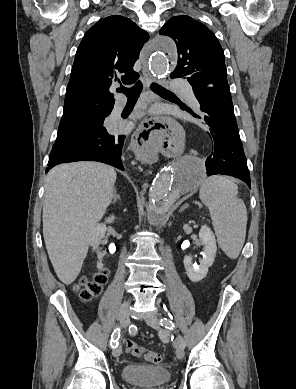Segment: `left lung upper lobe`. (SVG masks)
Masks as SVG:
<instances>
[{
	"instance_id": "obj_1",
	"label": "left lung upper lobe",
	"mask_w": 296,
	"mask_h": 389,
	"mask_svg": "<svg viewBox=\"0 0 296 389\" xmlns=\"http://www.w3.org/2000/svg\"><path fill=\"white\" fill-rule=\"evenodd\" d=\"M159 33L177 46L178 63L171 78H186L193 88L228 85L223 49L204 24L187 15L174 16Z\"/></svg>"
}]
</instances>
